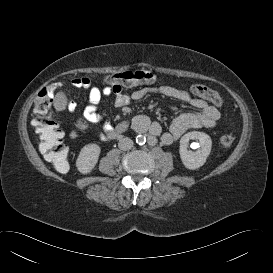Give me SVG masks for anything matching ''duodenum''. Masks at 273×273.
I'll return each mask as SVG.
<instances>
[{"mask_svg":"<svg viewBox=\"0 0 273 273\" xmlns=\"http://www.w3.org/2000/svg\"><path fill=\"white\" fill-rule=\"evenodd\" d=\"M126 128H127L126 123H120L115 128L108 131V137L115 138L117 136H120L126 131Z\"/></svg>","mask_w":273,"mask_h":273,"instance_id":"obj_1","label":"duodenum"}]
</instances>
